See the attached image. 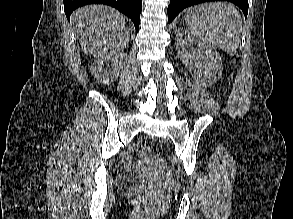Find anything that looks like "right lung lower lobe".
<instances>
[{"label": "right lung lower lobe", "mask_w": 293, "mask_h": 219, "mask_svg": "<svg viewBox=\"0 0 293 219\" xmlns=\"http://www.w3.org/2000/svg\"><path fill=\"white\" fill-rule=\"evenodd\" d=\"M64 1V11L68 20H70L71 13L78 7H81L86 4L92 3H102L110 5L126 16L131 18L133 21L136 32L139 29V16L142 10V1L141 0H63Z\"/></svg>", "instance_id": "right-lung-lower-lobe-1"}]
</instances>
